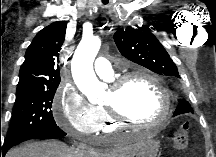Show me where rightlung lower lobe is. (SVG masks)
<instances>
[{"label": "right lung lower lobe", "instance_id": "right-lung-lower-lobe-1", "mask_svg": "<svg viewBox=\"0 0 216 157\" xmlns=\"http://www.w3.org/2000/svg\"><path fill=\"white\" fill-rule=\"evenodd\" d=\"M66 133L62 131L61 129L53 130V131H46V132H38L34 134H30L26 136L23 139L17 140L15 142L2 145L0 146V157H4L6 152L14 145L26 141V140H31V139H55V138H61L64 137Z\"/></svg>", "mask_w": 216, "mask_h": 157}]
</instances>
